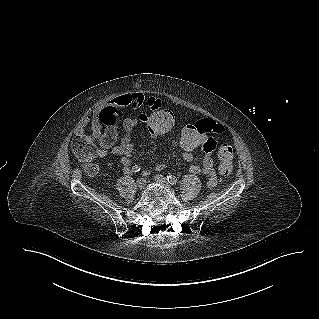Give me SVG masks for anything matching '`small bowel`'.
I'll return each instance as SVG.
<instances>
[{
	"label": "small bowel",
	"mask_w": 319,
	"mask_h": 319,
	"mask_svg": "<svg viewBox=\"0 0 319 319\" xmlns=\"http://www.w3.org/2000/svg\"><path fill=\"white\" fill-rule=\"evenodd\" d=\"M146 105L152 111V113H171V104H162V102L154 97H150L145 100L141 93H126L113 97L105 104L97 108L96 112L91 117V132H86L87 123L83 122L75 130L76 137H87L90 143L100 149L99 155L104 157L109 154L117 155L121 157V163L126 173L132 172L131 155L134 150L132 142V130L138 122L145 123L149 129V114L140 113L137 118H130L126 121L125 113L116 107H140ZM126 121V123H125ZM125 124L122 134L121 142L118 145L111 147L120 136L121 127ZM192 124L186 125L190 126ZM150 135L153 138L160 136L154 135L149 129ZM223 137V131L216 129L211 138L205 140L202 147L205 156L202 161V165H191L190 172L194 174H204L208 176L209 186H215L217 183V177L214 169V160L211 157L212 152L215 150L218 140ZM175 144L179 147L177 142V136ZM183 158L186 161H192L194 155H186L183 153ZM166 167L165 164H158L154 170L159 171Z\"/></svg>",
	"instance_id": "c3829d8e"
}]
</instances>
